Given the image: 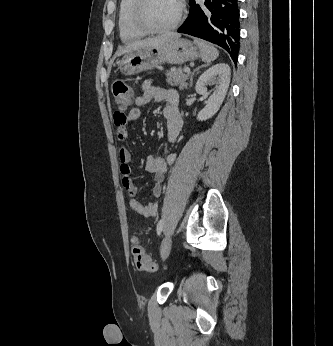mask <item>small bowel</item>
Masks as SVG:
<instances>
[{"mask_svg": "<svg viewBox=\"0 0 333 346\" xmlns=\"http://www.w3.org/2000/svg\"><path fill=\"white\" fill-rule=\"evenodd\" d=\"M151 101L165 103L163 114L168 124V139L172 141L179 135L182 127V116L177 91L172 88L156 86L152 81L148 80L144 82L141 94L134 99L135 106L129 110L125 119H122L118 115L114 118L117 128V138L120 142H125L128 137L125 122L138 120L141 115L140 107L145 106ZM119 159L122 182L130 196L129 205L131 209L144 217L155 216L158 210V204L156 202L143 204L136 198L138 187L132 178L131 153L124 145L119 149ZM174 159V154L168 155L166 159L157 156H149L147 158L145 169L153 175L152 194L154 197H159L162 194V183L167 171V165L172 163Z\"/></svg>", "mask_w": 333, "mask_h": 346, "instance_id": "1", "label": "small bowel"}]
</instances>
